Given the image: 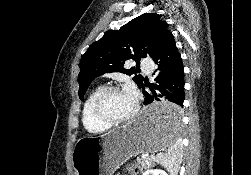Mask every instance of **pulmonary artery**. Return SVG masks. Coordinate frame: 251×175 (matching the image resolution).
<instances>
[{"mask_svg": "<svg viewBox=\"0 0 251 175\" xmlns=\"http://www.w3.org/2000/svg\"><path fill=\"white\" fill-rule=\"evenodd\" d=\"M141 67L143 70V75H148V70H153L154 62H152L151 58H142L141 59ZM151 73V71H150Z\"/></svg>", "mask_w": 251, "mask_h": 175, "instance_id": "1", "label": "pulmonary artery"}]
</instances>
